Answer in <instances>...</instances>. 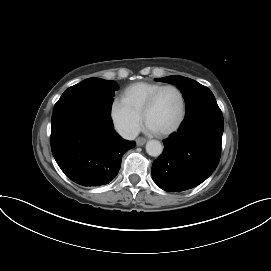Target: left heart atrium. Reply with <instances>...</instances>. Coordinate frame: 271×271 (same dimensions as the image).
I'll list each match as a JSON object with an SVG mask.
<instances>
[{
    "label": "left heart atrium",
    "mask_w": 271,
    "mask_h": 271,
    "mask_svg": "<svg viewBox=\"0 0 271 271\" xmlns=\"http://www.w3.org/2000/svg\"><path fill=\"white\" fill-rule=\"evenodd\" d=\"M148 131L152 132V133H156L158 132L151 124L147 123L146 125Z\"/></svg>",
    "instance_id": "left-heart-atrium-1"
}]
</instances>
